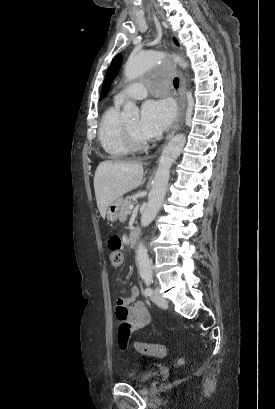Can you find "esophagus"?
<instances>
[{
    "label": "esophagus",
    "mask_w": 275,
    "mask_h": 409,
    "mask_svg": "<svg viewBox=\"0 0 275 409\" xmlns=\"http://www.w3.org/2000/svg\"><path fill=\"white\" fill-rule=\"evenodd\" d=\"M180 78V87H179V113H178V117L177 120L175 122V124L173 125V127L171 128L170 132L168 133L164 144L162 145V147L159 149L161 150L163 148V146L168 142V140L171 139V137H173V135L175 134V132L178 130L180 123L183 121L184 116H185V107H186V81L185 78L183 77L182 74H180L179 76Z\"/></svg>",
    "instance_id": "esophagus-1"
}]
</instances>
